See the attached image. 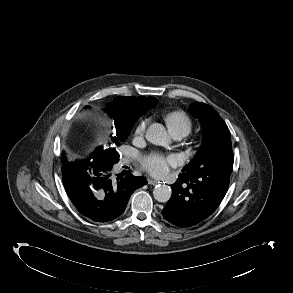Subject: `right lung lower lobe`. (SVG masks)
Here are the masks:
<instances>
[{
  "label": "right lung lower lobe",
  "instance_id": "1",
  "mask_svg": "<svg viewBox=\"0 0 293 293\" xmlns=\"http://www.w3.org/2000/svg\"><path fill=\"white\" fill-rule=\"evenodd\" d=\"M92 157L63 172L65 190L82 215L97 222L111 221L125 211L131 194L147 180L128 174L116 182L112 176L116 162L102 153H93Z\"/></svg>",
  "mask_w": 293,
  "mask_h": 293
}]
</instances>
